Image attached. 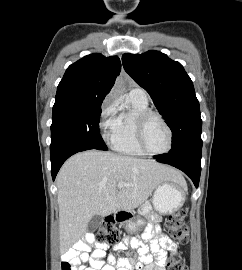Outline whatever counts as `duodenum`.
<instances>
[{
	"label": "duodenum",
	"instance_id": "410a0bca",
	"mask_svg": "<svg viewBox=\"0 0 242 270\" xmlns=\"http://www.w3.org/2000/svg\"><path fill=\"white\" fill-rule=\"evenodd\" d=\"M118 221H122L123 219L120 218L121 213L120 212H114L113 214Z\"/></svg>",
	"mask_w": 242,
	"mask_h": 270
}]
</instances>
